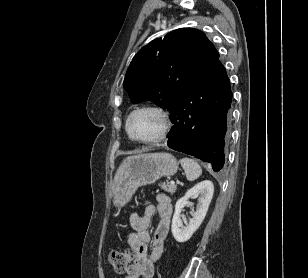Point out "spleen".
<instances>
[{"label":"spleen","mask_w":308,"mask_h":278,"mask_svg":"<svg viewBox=\"0 0 308 278\" xmlns=\"http://www.w3.org/2000/svg\"><path fill=\"white\" fill-rule=\"evenodd\" d=\"M180 164L188 181H194L202 174L201 166L194 159L182 158L180 159Z\"/></svg>","instance_id":"3e777b00"}]
</instances>
